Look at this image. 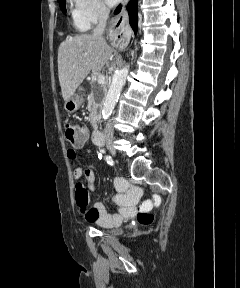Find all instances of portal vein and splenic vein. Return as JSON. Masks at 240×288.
<instances>
[{
    "label": "portal vein and splenic vein",
    "mask_w": 240,
    "mask_h": 288,
    "mask_svg": "<svg viewBox=\"0 0 240 288\" xmlns=\"http://www.w3.org/2000/svg\"><path fill=\"white\" fill-rule=\"evenodd\" d=\"M97 82H98V84L103 85L105 83L104 75H98Z\"/></svg>",
    "instance_id": "1"
}]
</instances>
